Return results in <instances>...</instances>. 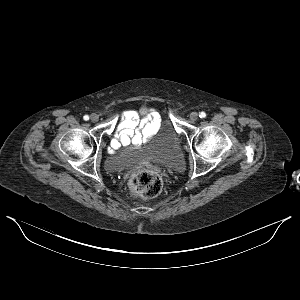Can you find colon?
<instances>
[{
	"instance_id": "5ec220e1",
	"label": "colon",
	"mask_w": 300,
	"mask_h": 300,
	"mask_svg": "<svg viewBox=\"0 0 300 300\" xmlns=\"http://www.w3.org/2000/svg\"><path fill=\"white\" fill-rule=\"evenodd\" d=\"M163 187L162 179L152 168L142 167L134 171L129 179V188L133 195L142 198L157 196Z\"/></svg>"
}]
</instances>
